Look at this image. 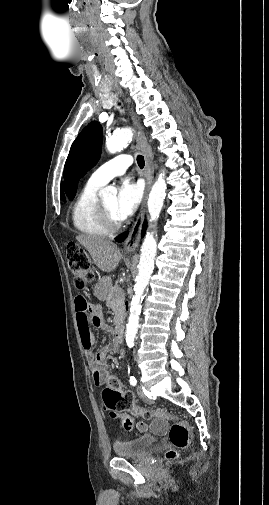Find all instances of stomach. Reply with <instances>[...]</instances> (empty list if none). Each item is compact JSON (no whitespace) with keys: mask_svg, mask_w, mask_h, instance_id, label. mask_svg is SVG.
Returning <instances> with one entry per match:
<instances>
[{"mask_svg":"<svg viewBox=\"0 0 269 505\" xmlns=\"http://www.w3.org/2000/svg\"><path fill=\"white\" fill-rule=\"evenodd\" d=\"M112 287L111 278L104 276L100 278L95 285V293L100 299H104Z\"/></svg>","mask_w":269,"mask_h":505,"instance_id":"obj_1","label":"stomach"}]
</instances>
